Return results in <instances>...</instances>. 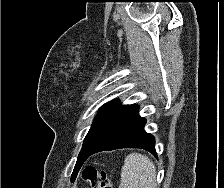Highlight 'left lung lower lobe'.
Wrapping results in <instances>:
<instances>
[{"instance_id":"1","label":"left lung lower lobe","mask_w":224,"mask_h":188,"mask_svg":"<svg viewBox=\"0 0 224 188\" xmlns=\"http://www.w3.org/2000/svg\"><path fill=\"white\" fill-rule=\"evenodd\" d=\"M139 106L131 105L116 121L114 126L105 134L98 145L78 158L76 166H80L85 160L100 151L115 150L121 148L145 149L154 155L155 139L144 130L146 120L138 114Z\"/></svg>"}]
</instances>
